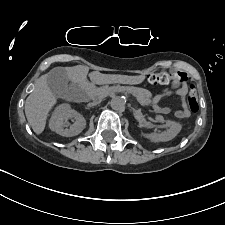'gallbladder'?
<instances>
[{"label":"gallbladder","mask_w":225,"mask_h":225,"mask_svg":"<svg viewBox=\"0 0 225 225\" xmlns=\"http://www.w3.org/2000/svg\"><path fill=\"white\" fill-rule=\"evenodd\" d=\"M47 84L51 92L58 98L65 100H76L80 98L77 87L69 85L65 68L56 67L47 74Z\"/></svg>","instance_id":"1"}]
</instances>
